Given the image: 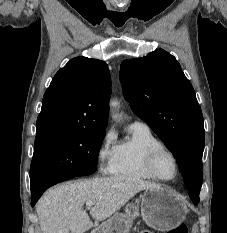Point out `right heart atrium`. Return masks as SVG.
<instances>
[{"mask_svg": "<svg viewBox=\"0 0 227 233\" xmlns=\"http://www.w3.org/2000/svg\"><path fill=\"white\" fill-rule=\"evenodd\" d=\"M116 135L107 129L102 135L96 150V162L102 174L113 173L116 162Z\"/></svg>", "mask_w": 227, "mask_h": 233, "instance_id": "d8ad5b80", "label": "right heart atrium"}]
</instances>
